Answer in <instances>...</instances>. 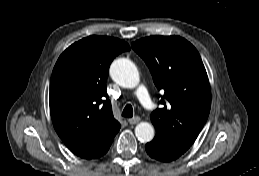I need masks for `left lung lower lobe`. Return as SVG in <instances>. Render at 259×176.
Segmentation results:
<instances>
[{"instance_id":"obj_1","label":"left lung lower lobe","mask_w":259,"mask_h":176,"mask_svg":"<svg viewBox=\"0 0 259 176\" xmlns=\"http://www.w3.org/2000/svg\"><path fill=\"white\" fill-rule=\"evenodd\" d=\"M146 151L150 157L162 162L173 161L180 156L166 151L163 147H160L153 142L146 144Z\"/></svg>"}]
</instances>
